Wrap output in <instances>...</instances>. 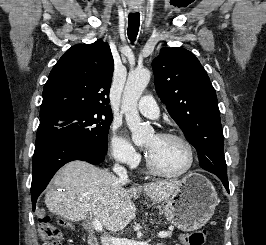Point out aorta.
<instances>
[{
    "label": "aorta",
    "mask_w": 266,
    "mask_h": 245,
    "mask_svg": "<svg viewBox=\"0 0 266 245\" xmlns=\"http://www.w3.org/2000/svg\"><path fill=\"white\" fill-rule=\"evenodd\" d=\"M148 68H137L129 72L122 94L121 108L124 110L126 123L132 133L134 145H144L149 137H153V129L147 123H141L137 104L150 80Z\"/></svg>",
    "instance_id": "aorta-1"
}]
</instances>
